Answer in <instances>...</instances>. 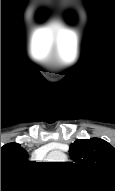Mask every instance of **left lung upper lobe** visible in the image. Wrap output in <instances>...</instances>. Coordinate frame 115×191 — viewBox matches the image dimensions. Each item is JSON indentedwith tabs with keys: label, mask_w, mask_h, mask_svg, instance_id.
<instances>
[{
	"label": "left lung upper lobe",
	"mask_w": 115,
	"mask_h": 191,
	"mask_svg": "<svg viewBox=\"0 0 115 191\" xmlns=\"http://www.w3.org/2000/svg\"><path fill=\"white\" fill-rule=\"evenodd\" d=\"M69 153L77 165L115 180V148L105 140L77 139Z\"/></svg>",
	"instance_id": "1"
}]
</instances>
